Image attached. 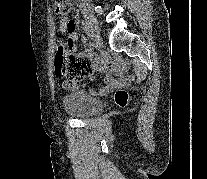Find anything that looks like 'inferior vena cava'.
Returning a JSON list of instances; mask_svg holds the SVG:
<instances>
[{
  "mask_svg": "<svg viewBox=\"0 0 207 179\" xmlns=\"http://www.w3.org/2000/svg\"><path fill=\"white\" fill-rule=\"evenodd\" d=\"M81 2H86V1H88V0H80Z\"/></svg>",
  "mask_w": 207,
  "mask_h": 179,
  "instance_id": "602c4592",
  "label": "inferior vena cava"
}]
</instances>
